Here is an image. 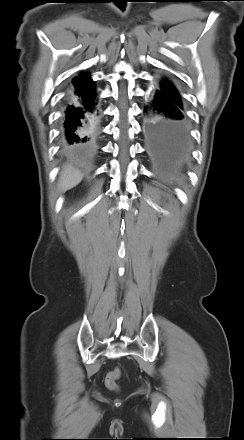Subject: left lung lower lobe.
Segmentation results:
<instances>
[{
	"label": "left lung lower lobe",
	"mask_w": 244,
	"mask_h": 440,
	"mask_svg": "<svg viewBox=\"0 0 244 440\" xmlns=\"http://www.w3.org/2000/svg\"><path fill=\"white\" fill-rule=\"evenodd\" d=\"M148 152L164 171L182 172L191 152L190 124L183 104L160 87L154 88L144 110Z\"/></svg>",
	"instance_id": "left-lung-lower-lobe-1"
}]
</instances>
